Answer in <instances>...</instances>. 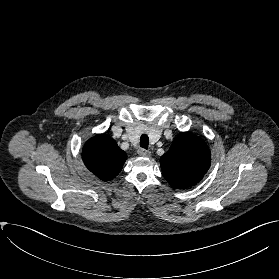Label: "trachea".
<instances>
[{
	"instance_id": "obj_1",
	"label": "trachea",
	"mask_w": 279,
	"mask_h": 279,
	"mask_svg": "<svg viewBox=\"0 0 279 279\" xmlns=\"http://www.w3.org/2000/svg\"><path fill=\"white\" fill-rule=\"evenodd\" d=\"M149 137L146 134H143L140 137V146L144 149H148Z\"/></svg>"
}]
</instances>
